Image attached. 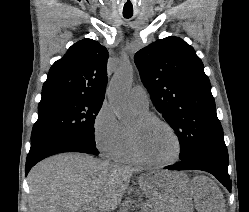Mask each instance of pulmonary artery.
I'll return each mask as SVG.
<instances>
[{
  "instance_id": "1",
  "label": "pulmonary artery",
  "mask_w": 249,
  "mask_h": 212,
  "mask_svg": "<svg viewBox=\"0 0 249 212\" xmlns=\"http://www.w3.org/2000/svg\"><path fill=\"white\" fill-rule=\"evenodd\" d=\"M130 99L135 109L144 112L148 111L149 97L143 86L141 85L134 86L131 90Z\"/></svg>"
}]
</instances>
